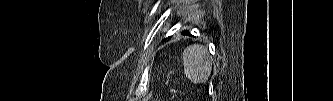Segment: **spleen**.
<instances>
[{
	"label": "spleen",
	"instance_id": "obj_1",
	"mask_svg": "<svg viewBox=\"0 0 333 101\" xmlns=\"http://www.w3.org/2000/svg\"><path fill=\"white\" fill-rule=\"evenodd\" d=\"M184 73L193 83H205L212 71V58L207 48L194 44L183 52Z\"/></svg>",
	"mask_w": 333,
	"mask_h": 101
}]
</instances>
